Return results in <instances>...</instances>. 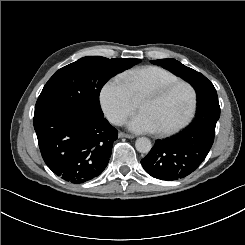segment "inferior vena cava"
Instances as JSON below:
<instances>
[{
    "instance_id": "inferior-vena-cava-1",
    "label": "inferior vena cava",
    "mask_w": 245,
    "mask_h": 245,
    "mask_svg": "<svg viewBox=\"0 0 245 245\" xmlns=\"http://www.w3.org/2000/svg\"><path fill=\"white\" fill-rule=\"evenodd\" d=\"M126 121V117L124 115H117L115 118V125H122L124 124Z\"/></svg>"
}]
</instances>
